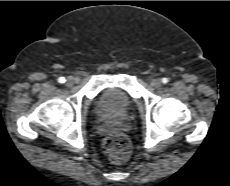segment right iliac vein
Returning <instances> with one entry per match:
<instances>
[{"instance_id":"obj_1","label":"right iliac vein","mask_w":230,"mask_h":186,"mask_svg":"<svg viewBox=\"0 0 230 186\" xmlns=\"http://www.w3.org/2000/svg\"><path fill=\"white\" fill-rule=\"evenodd\" d=\"M76 82V79L73 77H68L66 80V85L67 86H72Z\"/></svg>"}]
</instances>
